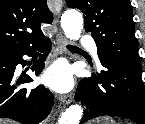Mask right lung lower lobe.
<instances>
[{
	"label": "right lung lower lobe",
	"mask_w": 145,
	"mask_h": 124,
	"mask_svg": "<svg viewBox=\"0 0 145 124\" xmlns=\"http://www.w3.org/2000/svg\"><path fill=\"white\" fill-rule=\"evenodd\" d=\"M37 48L43 51V55L32 66L36 75L44 68V60L51 50L49 38L43 39L37 45L26 49H14L0 52V117L10 118L23 124H38L50 113L54 97L44 86H38L33 90L19 89L22 83L32 82L29 75L16 80L14 71L17 64L25 65L23 55H34Z\"/></svg>",
	"instance_id": "obj_1"
}]
</instances>
